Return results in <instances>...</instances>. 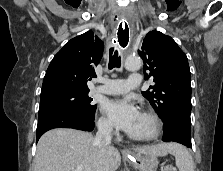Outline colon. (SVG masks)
<instances>
[{"label": "colon", "instance_id": "colon-1", "mask_svg": "<svg viewBox=\"0 0 223 171\" xmlns=\"http://www.w3.org/2000/svg\"><path fill=\"white\" fill-rule=\"evenodd\" d=\"M161 171H177V170L175 169V167H173L171 165H166L162 168Z\"/></svg>", "mask_w": 223, "mask_h": 171}]
</instances>
